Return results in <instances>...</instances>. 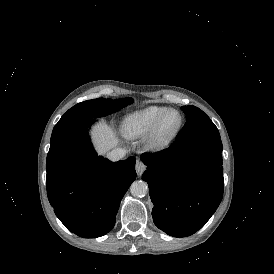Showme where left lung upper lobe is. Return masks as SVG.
Segmentation results:
<instances>
[{
    "mask_svg": "<svg viewBox=\"0 0 274 274\" xmlns=\"http://www.w3.org/2000/svg\"><path fill=\"white\" fill-rule=\"evenodd\" d=\"M186 114V124L179 132L177 139H189L207 136H220L217 127L210 118L195 106H182Z\"/></svg>",
    "mask_w": 274,
    "mask_h": 274,
    "instance_id": "left-lung-upper-lobe-1",
    "label": "left lung upper lobe"
}]
</instances>
